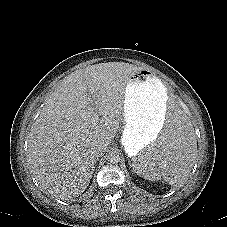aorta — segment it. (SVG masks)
Returning <instances> with one entry per match:
<instances>
[{
    "label": "aorta",
    "instance_id": "aorta-1",
    "mask_svg": "<svg viewBox=\"0 0 227 227\" xmlns=\"http://www.w3.org/2000/svg\"><path fill=\"white\" fill-rule=\"evenodd\" d=\"M108 158H109V161L114 164L120 162V159H121L118 152H111Z\"/></svg>",
    "mask_w": 227,
    "mask_h": 227
}]
</instances>
